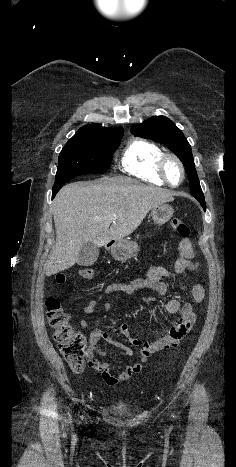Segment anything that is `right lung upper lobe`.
Masks as SVG:
<instances>
[{
    "label": "right lung upper lobe",
    "instance_id": "cb5924a9",
    "mask_svg": "<svg viewBox=\"0 0 236 467\" xmlns=\"http://www.w3.org/2000/svg\"><path fill=\"white\" fill-rule=\"evenodd\" d=\"M123 133V128H115V129H110V128H105V127H99L95 125H87L82 128H80L77 132L76 135H92V134H107V135H113V134H121Z\"/></svg>",
    "mask_w": 236,
    "mask_h": 467
}]
</instances>
